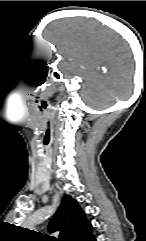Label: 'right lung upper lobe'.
<instances>
[{"label":"right lung upper lobe","mask_w":146,"mask_h":241,"mask_svg":"<svg viewBox=\"0 0 146 241\" xmlns=\"http://www.w3.org/2000/svg\"><path fill=\"white\" fill-rule=\"evenodd\" d=\"M60 231L58 239L52 241H91L92 225L85 218V213L77 202L69 195H65L50 221L49 231Z\"/></svg>","instance_id":"obj_1"}]
</instances>
